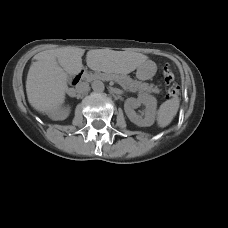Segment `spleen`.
I'll list each match as a JSON object with an SVG mask.
<instances>
[{
  "label": "spleen",
  "instance_id": "3e777b00",
  "mask_svg": "<svg viewBox=\"0 0 228 228\" xmlns=\"http://www.w3.org/2000/svg\"><path fill=\"white\" fill-rule=\"evenodd\" d=\"M180 105V99L176 96L162 103L157 111V123L159 127L168 126L176 116Z\"/></svg>",
  "mask_w": 228,
  "mask_h": 228
}]
</instances>
